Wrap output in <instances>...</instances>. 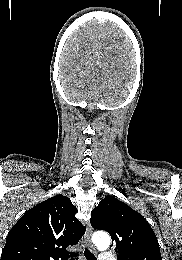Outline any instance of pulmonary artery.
<instances>
[{
	"label": "pulmonary artery",
	"mask_w": 182,
	"mask_h": 260,
	"mask_svg": "<svg viewBox=\"0 0 182 260\" xmlns=\"http://www.w3.org/2000/svg\"><path fill=\"white\" fill-rule=\"evenodd\" d=\"M99 260H116V259L111 253L103 252L100 254Z\"/></svg>",
	"instance_id": "pulmonary-artery-1"
}]
</instances>
